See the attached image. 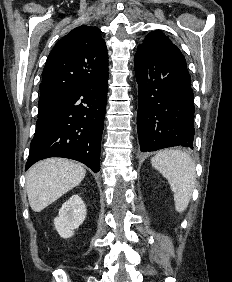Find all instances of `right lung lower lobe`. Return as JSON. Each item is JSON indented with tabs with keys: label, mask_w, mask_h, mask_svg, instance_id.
Segmentation results:
<instances>
[{
	"label": "right lung lower lobe",
	"mask_w": 232,
	"mask_h": 282,
	"mask_svg": "<svg viewBox=\"0 0 232 282\" xmlns=\"http://www.w3.org/2000/svg\"><path fill=\"white\" fill-rule=\"evenodd\" d=\"M108 75L72 87L38 117L26 170L48 157L74 159L95 173L100 170Z\"/></svg>",
	"instance_id": "98d812e1"
}]
</instances>
